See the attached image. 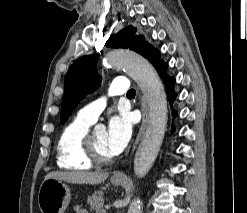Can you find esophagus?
I'll return each mask as SVG.
<instances>
[{"instance_id": "esophagus-1", "label": "esophagus", "mask_w": 247, "mask_h": 213, "mask_svg": "<svg viewBox=\"0 0 247 213\" xmlns=\"http://www.w3.org/2000/svg\"><path fill=\"white\" fill-rule=\"evenodd\" d=\"M140 106H141V111H142V121H141V125H140V128H139V131H138V134L136 136V139H135V142L133 144V149L132 151L135 150V148L137 147L139 141L141 140L144 132H145V129H146V125H147V119H148V114H147V106H146V103H145V99L143 97H140ZM114 177L115 178H124L125 175L121 172H116L114 174Z\"/></svg>"}]
</instances>
